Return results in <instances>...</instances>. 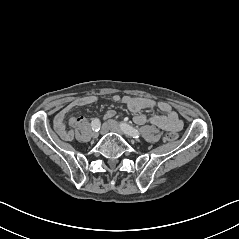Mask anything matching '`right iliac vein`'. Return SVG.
<instances>
[{"label":"right iliac vein","instance_id":"right-iliac-vein-1","mask_svg":"<svg viewBox=\"0 0 239 239\" xmlns=\"http://www.w3.org/2000/svg\"><path fill=\"white\" fill-rule=\"evenodd\" d=\"M108 130H109L108 125L105 123V124H103V126L101 128L100 134L105 135L108 132Z\"/></svg>","mask_w":239,"mask_h":239}]
</instances>
